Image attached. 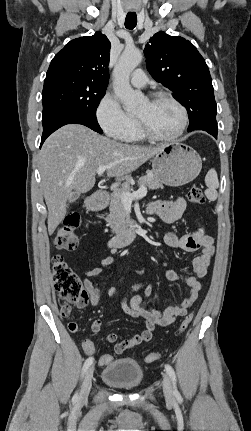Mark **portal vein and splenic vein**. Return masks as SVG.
I'll return each instance as SVG.
<instances>
[{"instance_id": "obj_1", "label": "portal vein and splenic vein", "mask_w": 251, "mask_h": 431, "mask_svg": "<svg viewBox=\"0 0 251 431\" xmlns=\"http://www.w3.org/2000/svg\"><path fill=\"white\" fill-rule=\"evenodd\" d=\"M110 166H100L97 169V174L101 176L106 169H108ZM147 194V188L145 186H141L137 191L133 193H123L121 195V201L124 205H130L133 200L135 199H141Z\"/></svg>"}]
</instances>
